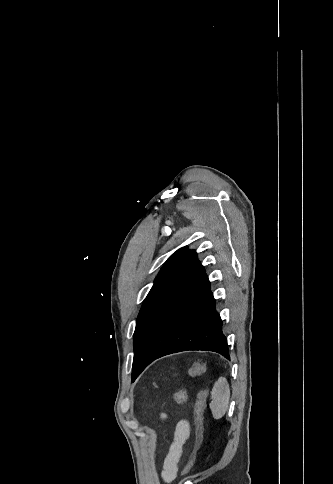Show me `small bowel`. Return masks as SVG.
Here are the masks:
<instances>
[{"label": "small bowel", "instance_id": "c3829d8e", "mask_svg": "<svg viewBox=\"0 0 333 484\" xmlns=\"http://www.w3.org/2000/svg\"><path fill=\"white\" fill-rule=\"evenodd\" d=\"M165 416V415H164ZM190 434V425L186 420H180L174 430L173 441L165 457L161 477L165 483L172 482L178 471V463L182 454L183 445Z\"/></svg>", "mask_w": 333, "mask_h": 484}]
</instances>
